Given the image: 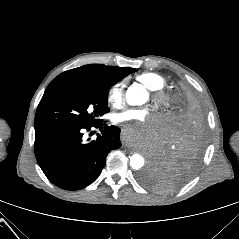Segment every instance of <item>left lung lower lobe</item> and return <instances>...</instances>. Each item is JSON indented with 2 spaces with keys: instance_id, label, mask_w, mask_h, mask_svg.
<instances>
[{
  "instance_id": "0a47b994",
  "label": "left lung lower lobe",
  "mask_w": 239,
  "mask_h": 239,
  "mask_svg": "<svg viewBox=\"0 0 239 239\" xmlns=\"http://www.w3.org/2000/svg\"><path fill=\"white\" fill-rule=\"evenodd\" d=\"M175 115V121L164 134L150 166L168 179L171 188L183 185L193 175L202 157L206 137L199 98H185L178 102Z\"/></svg>"
}]
</instances>
